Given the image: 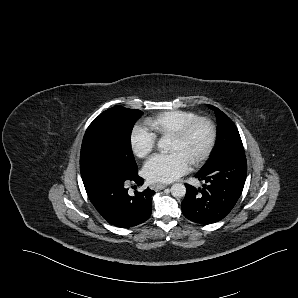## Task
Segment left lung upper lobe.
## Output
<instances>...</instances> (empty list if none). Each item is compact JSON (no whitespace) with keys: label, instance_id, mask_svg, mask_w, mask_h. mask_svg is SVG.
Instances as JSON below:
<instances>
[{"label":"left lung upper lobe","instance_id":"1","mask_svg":"<svg viewBox=\"0 0 298 298\" xmlns=\"http://www.w3.org/2000/svg\"><path fill=\"white\" fill-rule=\"evenodd\" d=\"M208 106L215 111L218 122V139L213 155L205 167L216 164L230 156L244 153L241 137L233 121L218 108L212 105Z\"/></svg>","mask_w":298,"mask_h":298}]
</instances>
